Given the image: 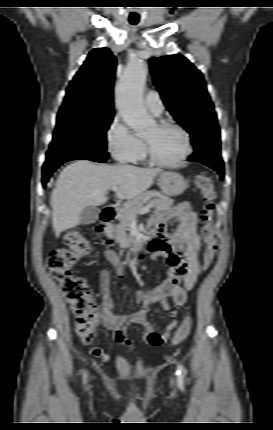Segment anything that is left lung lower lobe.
Instances as JSON below:
<instances>
[{"mask_svg": "<svg viewBox=\"0 0 273 430\" xmlns=\"http://www.w3.org/2000/svg\"><path fill=\"white\" fill-rule=\"evenodd\" d=\"M220 144H205L197 150L187 160L191 162H200L216 170L221 178H224V164L221 158Z\"/></svg>", "mask_w": 273, "mask_h": 430, "instance_id": "left-lung-lower-lobe-1", "label": "left lung lower lobe"}]
</instances>
